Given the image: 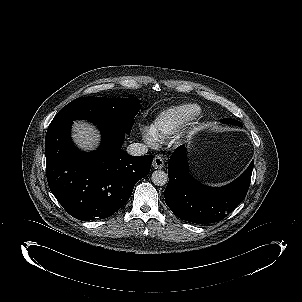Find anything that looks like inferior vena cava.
Wrapping results in <instances>:
<instances>
[{"label": "inferior vena cava", "mask_w": 302, "mask_h": 302, "mask_svg": "<svg viewBox=\"0 0 302 302\" xmlns=\"http://www.w3.org/2000/svg\"><path fill=\"white\" fill-rule=\"evenodd\" d=\"M126 151L132 156H142L148 152V148L143 143H132L127 147Z\"/></svg>", "instance_id": "inferior-vena-cava-1"}]
</instances>
